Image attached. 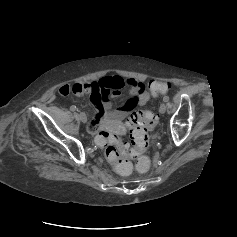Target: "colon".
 I'll return each mask as SVG.
<instances>
[{
    "instance_id": "colon-1",
    "label": "colon",
    "mask_w": 237,
    "mask_h": 237,
    "mask_svg": "<svg viewBox=\"0 0 237 237\" xmlns=\"http://www.w3.org/2000/svg\"><path fill=\"white\" fill-rule=\"evenodd\" d=\"M148 87L153 95L165 94L171 84L152 80ZM157 124V115L151 110H136L127 120L130 132V146L121 141L113 132L101 130L97 133L96 143L103 151L105 158L122 176L132 172L131 160L135 161L136 170L144 172L149 168V158L145 152L149 146V129Z\"/></svg>"
}]
</instances>
